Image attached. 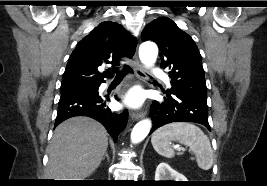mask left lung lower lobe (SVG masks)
<instances>
[{"label": "left lung lower lobe", "mask_w": 267, "mask_h": 186, "mask_svg": "<svg viewBox=\"0 0 267 186\" xmlns=\"http://www.w3.org/2000/svg\"><path fill=\"white\" fill-rule=\"evenodd\" d=\"M164 101L152 105L153 127L150 134L159 127L172 122H194L209 130L206 98L189 95L180 90L163 91Z\"/></svg>", "instance_id": "1"}]
</instances>
